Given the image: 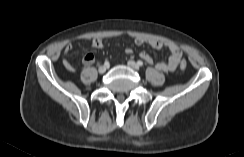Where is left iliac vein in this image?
Wrapping results in <instances>:
<instances>
[{"label":"left iliac vein","instance_id":"1","mask_svg":"<svg viewBox=\"0 0 244 157\" xmlns=\"http://www.w3.org/2000/svg\"><path fill=\"white\" fill-rule=\"evenodd\" d=\"M127 64H128V66H129L130 68H132V69H134V70H136V71L139 70V67H138V65H137V63H136L135 61H133V60H129V61L127 62Z\"/></svg>","mask_w":244,"mask_h":157}]
</instances>
